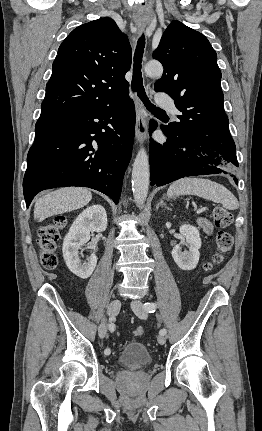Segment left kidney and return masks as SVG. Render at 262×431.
Listing matches in <instances>:
<instances>
[{
	"label": "left kidney",
	"mask_w": 262,
	"mask_h": 431,
	"mask_svg": "<svg viewBox=\"0 0 262 431\" xmlns=\"http://www.w3.org/2000/svg\"><path fill=\"white\" fill-rule=\"evenodd\" d=\"M181 235L186 239L184 243L177 244L172 250V257L177 266L182 270H193L196 268L201 248V238L199 230L191 225H182L180 227ZM185 245L189 251L182 252V246Z\"/></svg>",
	"instance_id": "1"
}]
</instances>
